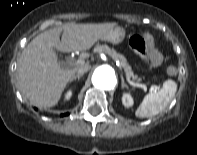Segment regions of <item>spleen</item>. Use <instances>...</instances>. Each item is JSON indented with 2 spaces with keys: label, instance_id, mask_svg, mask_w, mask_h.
Returning a JSON list of instances; mask_svg holds the SVG:
<instances>
[{
  "label": "spleen",
  "instance_id": "spleen-1",
  "mask_svg": "<svg viewBox=\"0 0 197 155\" xmlns=\"http://www.w3.org/2000/svg\"><path fill=\"white\" fill-rule=\"evenodd\" d=\"M177 84L173 80H166L157 93L147 94L135 111L139 118L152 117L163 111L175 96Z\"/></svg>",
  "mask_w": 197,
  "mask_h": 155
}]
</instances>
